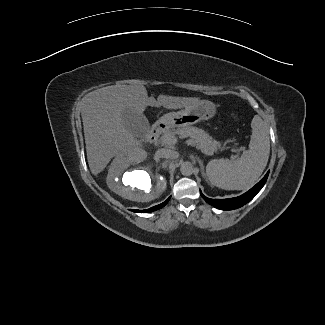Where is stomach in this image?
<instances>
[{
	"instance_id": "0dacf381",
	"label": "stomach",
	"mask_w": 325,
	"mask_h": 325,
	"mask_svg": "<svg viewBox=\"0 0 325 325\" xmlns=\"http://www.w3.org/2000/svg\"><path fill=\"white\" fill-rule=\"evenodd\" d=\"M215 114L216 105L211 101L201 100L199 103L185 107L181 111L164 115L161 117V122L172 127L184 126L210 119Z\"/></svg>"
}]
</instances>
